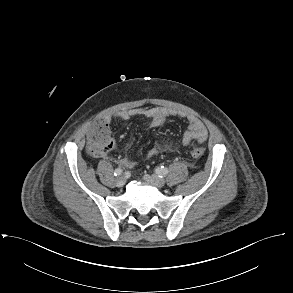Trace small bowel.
Wrapping results in <instances>:
<instances>
[{"instance_id": "obj_1", "label": "small bowel", "mask_w": 293, "mask_h": 293, "mask_svg": "<svg viewBox=\"0 0 293 293\" xmlns=\"http://www.w3.org/2000/svg\"><path fill=\"white\" fill-rule=\"evenodd\" d=\"M179 116L185 119L188 123L186 133L184 135V142L188 143L192 139H196L199 142H205L208 137V132L201 120L198 118L188 115L183 112H177L175 110L163 108V107H140L129 110H122L107 114L103 117V121L106 124L111 123L113 120H128L133 117H143L149 120V126L156 128L161 126L169 117ZM113 141V145H114ZM164 147L154 146L148 150L147 156L153 157L162 151ZM119 163L127 168H132L135 165V162L128 158L124 157L119 160Z\"/></svg>"}]
</instances>
